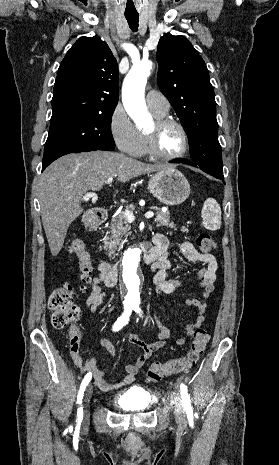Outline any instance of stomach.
<instances>
[{"instance_id": "1", "label": "stomach", "mask_w": 279, "mask_h": 465, "mask_svg": "<svg viewBox=\"0 0 279 465\" xmlns=\"http://www.w3.org/2000/svg\"><path fill=\"white\" fill-rule=\"evenodd\" d=\"M148 189L167 206L183 203L191 190L186 177L174 167L158 170L149 180Z\"/></svg>"}]
</instances>
